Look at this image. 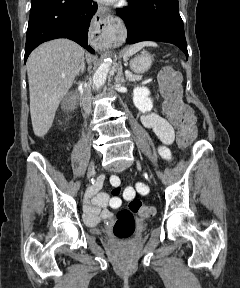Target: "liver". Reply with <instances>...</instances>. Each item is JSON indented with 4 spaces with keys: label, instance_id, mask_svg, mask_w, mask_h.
I'll list each match as a JSON object with an SVG mask.
<instances>
[{
    "label": "liver",
    "instance_id": "1",
    "mask_svg": "<svg viewBox=\"0 0 240 288\" xmlns=\"http://www.w3.org/2000/svg\"><path fill=\"white\" fill-rule=\"evenodd\" d=\"M84 62V49L68 39L41 44L27 60L30 114L34 134L44 137L60 101Z\"/></svg>",
    "mask_w": 240,
    "mask_h": 288
}]
</instances>
